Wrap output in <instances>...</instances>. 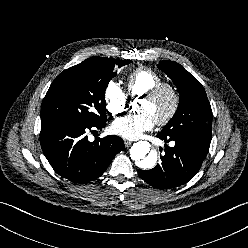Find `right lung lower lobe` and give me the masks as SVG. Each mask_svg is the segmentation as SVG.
<instances>
[{
	"mask_svg": "<svg viewBox=\"0 0 248 248\" xmlns=\"http://www.w3.org/2000/svg\"><path fill=\"white\" fill-rule=\"evenodd\" d=\"M105 126L106 121H41V147L54 171L75 183H85L100 177L114 156L125 147L119 136L95 138L93 142L88 140L89 130L94 133Z\"/></svg>",
	"mask_w": 248,
	"mask_h": 248,
	"instance_id": "obj_1",
	"label": "right lung lower lobe"
}]
</instances>
